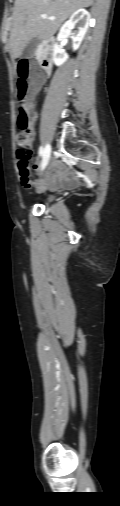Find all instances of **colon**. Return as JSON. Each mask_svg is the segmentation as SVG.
Returning <instances> with one entry per match:
<instances>
[{
    "mask_svg": "<svg viewBox=\"0 0 120 506\" xmlns=\"http://www.w3.org/2000/svg\"><path fill=\"white\" fill-rule=\"evenodd\" d=\"M18 126L19 132L16 134L15 141L18 145L17 157H18V168L20 174L27 176L29 174V161L31 157V144L33 138L32 131V116L29 111L28 103L25 99L26 92L28 90L27 79L31 76L39 78L41 75L31 70L29 67V56L27 54H20L18 56Z\"/></svg>",
    "mask_w": 120,
    "mask_h": 506,
    "instance_id": "1",
    "label": "colon"
}]
</instances>
